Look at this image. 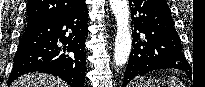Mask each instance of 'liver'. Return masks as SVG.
<instances>
[{"instance_id":"obj_1","label":"liver","mask_w":205,"mask_h":87,"mask_svg":"<svg viewBox=\"0 0 205 87\" xmlns=\"http://www.w3.org/2000/svg\"><path fill=\"white\" fill-rule=\"evenodd\" d=\"M11 87H67V84L47 74L30 73L17 79Z\"/></svg>"}]
</instances>
